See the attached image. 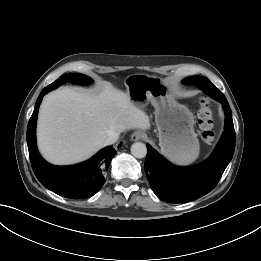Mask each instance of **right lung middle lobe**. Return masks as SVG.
I'll list each match as a JSON object with an SVG mask.
<instances>
[{"label":"right lung middle lobe","mask_w":261,"mask_h":261,"mask_svg":"<svg viewBox=\"0 0 261 261\" xmlns=\"http://www.w3.org/2000/svg\"><path fill=\"white\" fill-rule=\"evenodd\" d=\"M66 81L76 82V83H89L91 81V79L83 74H65V75L61 76L60 78H58L55 82H53L50 85H54L57 83L63 84Z\"/></svg>","instance_id":"right-lung-middle-lobe-1"}]
</instances>
